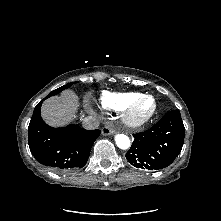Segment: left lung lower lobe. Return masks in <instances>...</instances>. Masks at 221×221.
Returning a JSON list of instances; mask_svg holds the SVG:
<instances>
[{
  "label": "left lung lower lobe",
  "mask_w": 221,
  "mask_h": 221,
  "mask_svg": "<svg viewBox=\"0 0 221 221\" xmlns=\"http://www.w3.org/2000/svg\"><path fill=\"white\" fill-rule=\"evenodd\" d=\"M185 128L179 110L164 115L152 128L134 135L126 154L131 165L148 170L169 166L181 152Z\"/></svg>",
  "instance_id": "1"
}]
</instances>
